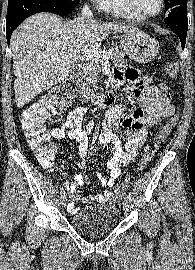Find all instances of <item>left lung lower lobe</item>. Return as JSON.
I'll return each mask as SVG.
<instances>
[{
    "instance_id": "1",
    "label": "left lung lower lobe",
    "mask_w": 195,
    "mask_h": 270,
    "mask_svg": "<svg viewBox=\"0 0 195 270\" xmlns=\"http://www.w3.org/2000/svg\"><path fill=\"white\" fill-rule=\"evenodd\" d=\"M165 22L180 38L181 46L184 49L188 30L187 5H178L169 9Z\"/></svg>"
}]
</instances>
